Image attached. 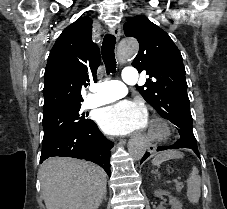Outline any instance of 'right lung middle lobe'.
<instances>
[{"instance_id":"dd1d6c3e","label":"right lung middle lobe","mask_w":227,"mask_h":209,"mask_svg":"<svg viewBox=\"0 0 227 209\" xmlns=\"http://www.w3.org/2000/svg\"><path fill=\"white\" fill-rule=\"evenodd\" d=\"M82 101L53 99L44 104L43 141L60 133L82 128L91 122L90 119L85 118V113L80 110Z\"/></svg>"}]
</instances>
